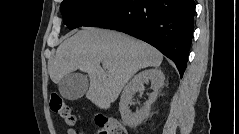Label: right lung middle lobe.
Instances as JSON below:
<instances>
[{
	"mask_svg": "<svg viewBox=\"0 0 239 134\" xmlns=\"http://www.w3.org/2000/svg\"><path fill=\"white\" fill-rule=\"evenodd\" d=\"M116 0H64L61 3V13L67 28L74 29L83 26L97 13Z\"/></svg>",
	"mask_w": 239,
	"mask_h": 134,
	"instance_id": "right-lung-middle-lobe-1",
	"label": "right lung middle lobe"
}]
</instances>
